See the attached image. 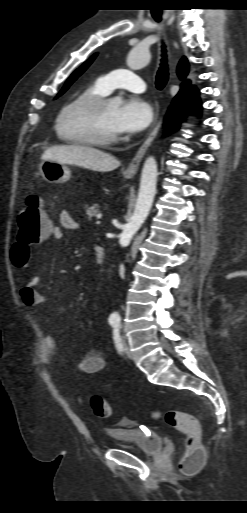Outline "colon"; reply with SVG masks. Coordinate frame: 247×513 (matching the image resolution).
Masks as SVG:
<instances>
[{
  "mask_svg": "<svg viewBox=\"0 0 247 513\" xmlns=\"http://www.w3.org/2000/svg\"><path fill=\"white\" fill-rule=\"evenodd\" d=\"M51 227L52 223L44 208L42 198L36 194L29 195L18 216L16 239L11 249V260L14 266L22 267L28 263L32 247L45 239L50 233ZM90 406L97 417L106 418L110 415L109 404L100 396H93ZM151 416L154 419L163 420L167 425L185 435V450L179 467L187 474L197 472L205 460L198 420L189 413L177 410L153 411Z\"/></svg>",
  "mask_w": 247,
  "mask_h": 513,
  "instance_id": "colon-1",
  "label": "colon"
}]
</instances>
